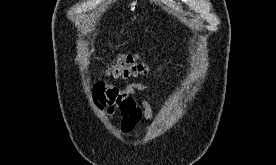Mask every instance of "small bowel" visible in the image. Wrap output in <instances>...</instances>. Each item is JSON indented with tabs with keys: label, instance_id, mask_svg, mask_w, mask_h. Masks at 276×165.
Instances as JSON below:
<instances>
[{
	"label": "small bowel",
	"instance_id": "1",
	"mask_svg": "<svg viewBox=\"0 0 276 165\" xmlns=\"http://www.w3.org/2000/svg\"><path fill=\"white\" fill-rule=\"evenodd\" d=\"M150 87L139 81H132L124 87L97 82L93 89V101L97 108L105 109L110 117L120 115L121 130L130 133L142 120L149 122L153 111L150 104L138 97V92L149 91Z\"/></svg>",
	"mask_w": 276,
	"mask_h": 165
}]
</instances>
